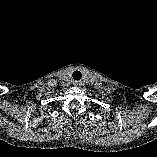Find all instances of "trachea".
I'll return each instance as SVG.
<instances>
[{"mask_svg": "<svg viewBox=\"0 0 157 157\" xmlns=\"http://www.w3.org/2000/svg\"><path fill=\"white\" fill-rule=\"evenodd\" d=\"M72 76L74 80H80L82 77V73L79 70H75Z\"/></svg>", "mask_w": 157, "mask_h": 157, "instance_id": "trachea-1", "label": "trachea"}]
</instances>
